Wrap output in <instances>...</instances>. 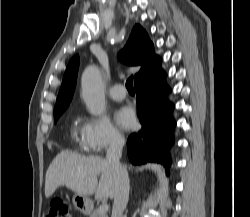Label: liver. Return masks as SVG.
I'll return each instance as SVG.
<instances>
[{"label": "liver", "mask_w": 250, "mask_h": 217, "mask_svg": "<svg viewBox=\"0 0 250 217\" xmlns=\"http://www.w3.org/2000/svg\"><path fill=\"white\" fill-rule=\"evenodd\" d=\"M99 175L101 176L98 181ZM60 186H66L79 195L95 194L97 200L112 199L115 191V179L106 160L97 156L61 152L54 158L46 172V198H49Z\"/></svg>", "instance_id": "obj_1"}]
</instances>
